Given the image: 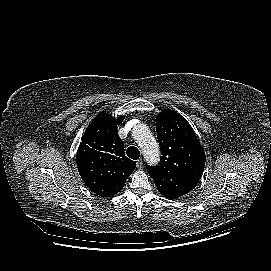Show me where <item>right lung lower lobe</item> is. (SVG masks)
I'll list each match as a JSON object with an SVG mask.
<instances>
[{
  "label": "right lung lower lobe",
  "instance_id": "right-lung-lower-lobe-1",
  "mask_svg": "<svg viewBox=\"0 0 271 271\" xmlns=\"http://www.w3.org/2000/svg\"><path fill=\"white\" fill-rule=\"evenodd\" d=\"M94 193H96L97 195H106L109 192L112 191L113 188L109 187V186H98V187H89ZM118 193V192H117ZM116 194V193H115ZM114 195V194H113ZM112 196V195H111Z\"/></svg>",
  "mask_w": 271,
  "mask_h": 271
}]
</instances>
